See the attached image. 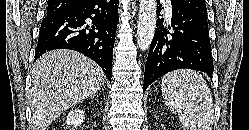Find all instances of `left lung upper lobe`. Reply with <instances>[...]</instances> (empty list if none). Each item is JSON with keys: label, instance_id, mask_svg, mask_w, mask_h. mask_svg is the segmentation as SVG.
<instances>
[{"label": "left lung upper lobe", "instance_id": "5c2ea615", "mask_svg": "<svg viewBox=\"0 0 249 130\" xmlns=\"http://www.w3.org/2000/svg\"><path fill=\"white\" fill-rule=\"evenodd\" d=\"M174 1L195 14H198L202 17L207 16L205 0H174Z\"/></svg>", "mask_w": 249, "mask_h": 130}]
</instances>
